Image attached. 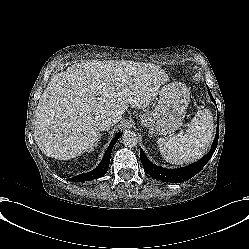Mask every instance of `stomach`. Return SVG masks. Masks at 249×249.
Returning <instances> with one entry per match:
<instances>
[{
  "mask_svg": "<svg viewBox=\"0 0 249 249\" xmlns=\"http://www.w3.org/2000/svg\"><path fill=\"white\" fill-rule=\"evenodd\" d=\"M190 101V93L183 84H168L159 91L158 104L152 111L139 116L142 126L152 135H167L178 130Z\"/></svg>",
  "mask_w": 249,
  "mask_h": 249,
  "instance_id": "obj_1",
  "label": "stomach"
}]
</instances>
